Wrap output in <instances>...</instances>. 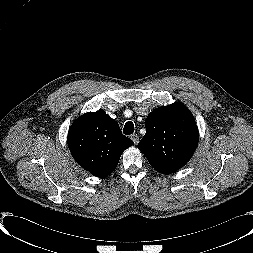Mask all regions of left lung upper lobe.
I'll use <instances>...</instances> for the list:
<instances>
[{"label": "left lung upper lobe", "mask_w": 253, "mask_h": 253, "mask_svg": "<svg viewBox=\"0 0 253 253\" xmlns=\"http://www.w3.org/2000/svg\"><path fill=\"white\" fill-rule=\"evenodd\" d=\"M146 134L138 149L150 165L162 174L183 167L198 145V129L193 115L183 104L153 110L145 121Z\"/></svg>", "instance_id": "1"}]
</instances>
